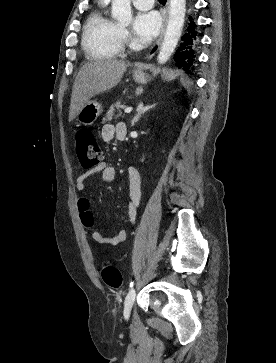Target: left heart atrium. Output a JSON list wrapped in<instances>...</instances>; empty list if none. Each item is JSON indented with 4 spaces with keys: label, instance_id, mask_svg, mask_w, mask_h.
<instances>
[{
    "label": "left heart atrium",
    "instance_id": "39dd6f15",
    "mask_svg": "<svg viewBox=\"0 0 276 363\" xmlns=\"http://www.w3.org/2000/svg\"><path fill=\"white\" fill-rule=\"evenodd\" d=\"M160 28L161 17L156 11L138 12L133 22L134 33L143 41L155 38Z\"/></svg>",
    "mask_w": 276,
    "mask_h": 363
}]
</instances>
